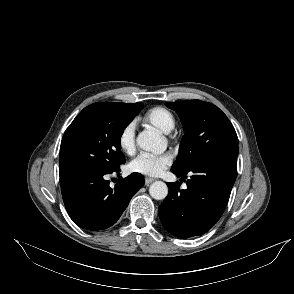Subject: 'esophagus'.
<instances>
[{
	"mask_svg": "<svg viewBox=\"0 0 294 294\" xmlns=\"http://www.w3.org/2000/svg\"><path fill=\"white\" fill-rule=\"evenodd\" d=\"M154 181H155L154 178H149V177H146V178H145V184H146V185H149V184H151V183L154 182Z\"/></svg>",
	"mask_w": 294,
	"mask_h": 294,
	"instance_id": "obj_1",
	"label": "esophagus"
}]
</instances>
